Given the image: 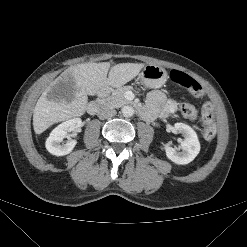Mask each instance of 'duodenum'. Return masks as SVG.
Instances as JSON below:
<instances>
[{
	"label": "duodenum",
	"instance_id": "duodenum-1",
	"mask_svg": "<svg viewBox=\"0 0 247 247\" xmlns=\"http://www.w3.org/2000/svg\"><path fill=\"white\" fill-rule=\"evenodd\" d=\"M111 90V85L109 83L104 84L98 93L97 99L91 101L88 105H87V113L89 115H95L99 112V110L102 107L103 101L105 100V98L107 97L109 91Z\"/></svg>",
	"mask_w": 247,
	"mask_h": 247
}]
</instances>
